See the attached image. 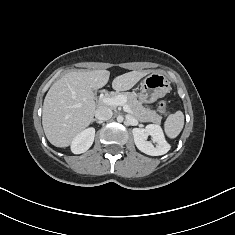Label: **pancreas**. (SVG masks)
I'll use <instances>...</instances> for the list:
<instances>
[{"label": "pancreas", "instance_id": "cf45deb5", "mask_svg": "<svg viewBox=\"0 0 235 235\" xmlns=\"http://www.w3.org/2000/svg\"><path fill=\"white\" fill-rule=\"evenodd\" d=\"M118 95H123L126 100L127 104L132 110V115L141 122H152L155 124H160L162 117L157 114L155 111L145 108L141 102H139L135 96V94L130 92L124 93H113L110 94L109 97H116Z\"/></svg>", "mask_w": 235, "mask_h": 235}]
</instances>
